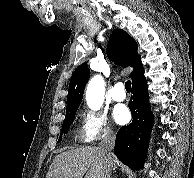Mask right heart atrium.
I'll use <instances>...</instances> for the list:
<instances>
[{
	"label": "right heart atrium",
	"instance_id": "obj_1",
	"mask_svg": "<svg viewBox=\"0 0 194 178\" xmlns=\"http://www.w3.org/2000/svg\"><path fill=\"white\" fill-rule=\"evenodd\" d=\"M113 135V130L104 114L91 109L80 111L76 131L78 143L91 145L100 140L110 139Z\"/></svg>",
	"mask_w": 194,
	"mask_h": 178
}]
</instances>
